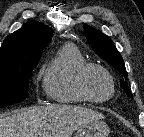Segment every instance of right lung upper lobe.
I'll list each match as a JSON object with an SVG mask.
<instances>
[{
	"mask_svg": "<svg viewBox=\"0 0 144 137\" xmlns=\"http://www.w3.org/2000/svg\"><path fill=\"white\" fill-rule=\"evenodd\" d=\"M53 30L38 21H29L7 36L0 48V65L40 59L51 42Z\"/></svg>",
	"mask_w": 144,
	"mask_h": 137,
	"instance_id": "1",
	"label": "right lung upper lobe"
}]
</instances>
